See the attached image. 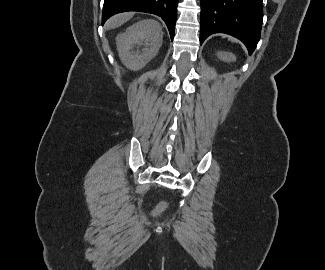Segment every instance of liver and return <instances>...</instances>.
I'll return each instance as SVG.
<instances>
[{"instance_id": "liver-1", "label": "liver", "mask_w": 325, "mask_h": 270, "mask_svg": "<svg viewBox=\"0 0 325 270\" xmlns=\"http://www.w3.org/2000/svg\"><path fill=\"white\" fill-rule=\"evenodd\" d=\"M132 16L133 13H122L115 15L107 21L106 27L107 29L117 28L127 22L129 19H131Z\"/></svg>"}]
</instances>
